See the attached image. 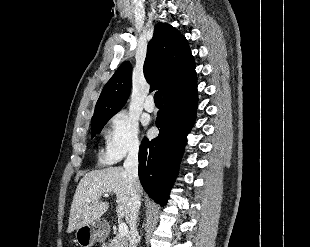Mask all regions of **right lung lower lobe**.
Wrapping results in <instances>:
<instances>
[{"label":"right lung lower lobe","mask_w":310,"mask_h":247,"mask_svg":"<svg viewBox=\"0 0 310 247\" xmlns=\"http://www.w3.org/2000/svg\"><path fill=\"white\" fill-rule=\"evenodd\" d=\"M197 82V81H196ZM196 82L163 97L157 114L159 135L144 138L139 150V178L146 193L162 206L178 173V166L198 104Z\"/></svg>","instance_id":"right-lung-lower-lobe-1"}]
</instances>
